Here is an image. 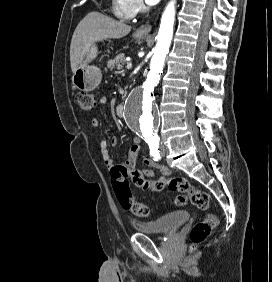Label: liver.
<instances>
[{"mask_svg":"<svg viewBox=\"0 0 272 282\" xmlns=\"http://www.w3.org/2000/svg\"><path fill=\"white\" fill-rule=\"evenodd\" d=\"M131 26L99 12L88 13L77 25L70 45V63L74 73L96 42L107 38H122Z\"/></svg>","mask_w":272,"mask_h":282,"instance_id":"6515ba94","label":"liver"}]
</instances>
